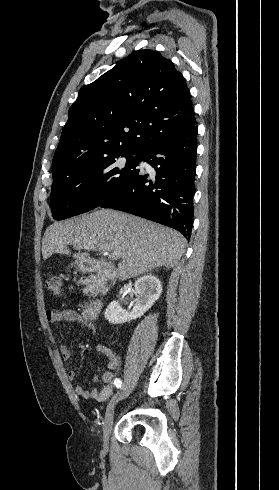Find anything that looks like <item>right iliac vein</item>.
Returning a JSON list of instances; mask_svg holds the SVG:
<instances>
[{"label": "right iliac vein", "instance_id": "63e3f726", "mask_svg": "<svg viewBox=\"0 0 279 490\" xmlns=\"http://www.w3.org/2000/svg\"><path fill=\"white\" fill-rule=\"evenodd\" d=\"M130 394L129 391L123 390V392H118L113 399L111 400L106 415H105V420L103 422V447L106 449L108 447V437L110 435V432L112 430V425L114 422V407L115 404L118 403L120 400L124 399Z\"/></svg>", "mask_w": 279, "mask_h": 490}]
</instances>
